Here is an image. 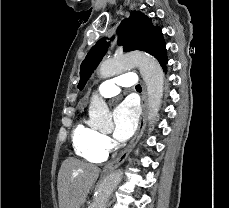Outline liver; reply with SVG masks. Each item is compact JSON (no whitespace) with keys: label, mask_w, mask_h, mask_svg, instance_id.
<instances>
[{"label":"liver","mask_w":229,"mask_h":208,"mask_svg":"<svg viewBox=\"0 0 229 208\" xmlns=\"http://www.w3.org/2000/svg\"><path fill=\"white\" fill-rule=\"evenodd\" d=\"M101 170L76 158L62 162L58 174L59 208H81Z\"/></svg>","instance_id":"1"}]
</instances>
